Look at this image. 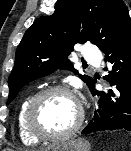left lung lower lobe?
<instances>
[{"instance_id": "0a47b994", "label": "left lung lower lobe", "mask_w": 131, "mask_h": 151, "mask_svg": "<svg viewBox=\"0 0 131 151\" xmlns=\"http://www.w3.org/2000/svg\"><path fill=\"white\" fill-rule=\"evenodd\" d=\"M105 60L112 65L111 74L106 80L114 85L108 93L90 85L93 96L100 95L99 106L94 117L81 132L88 134L96 131H131V35L105 51Z\"/></svg>"}]
</instances>
